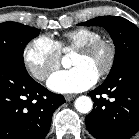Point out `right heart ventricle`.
Instances as JSON below:
<instances>
[{"instance_id":"right-heart-ventricle-1","label":"right heart ventricle","mask_w":139,"mask_h":139,"mask_svg":"<svg viewBox=\"0 0 139 139\" xmlns=\"http://www.w3.org/2000/svg\"><path fill=\"white\" fill-rule=\"evenodd\" d=\"M98 31L90 28H76L63 34V37L55 41L59 49L72 48L77 49L80 46L100 38Z\"/></svg>"}]
</instances>
